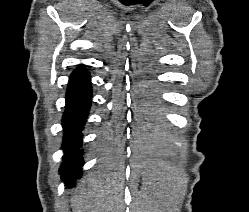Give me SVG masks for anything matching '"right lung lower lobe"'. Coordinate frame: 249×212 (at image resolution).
<instances>
[{
    "label": "right lung lower lobe",
    "mask_w": 249,
    "mask_h": 212,
    "mask_svg": "<svg viewBox=\"0 0 249 212\" xmlns=\"http://www.w3.org/2000/svg\"><path fill=\"white\" fill-rule=\"evenodd\" d=\"M90 75L84 67L76 69L69 80L66 110L63 115L65 156L60 175L67 187H74L83 165L80 131L85 123L92 97Z\"/></svg>",
    "instance_id": "obj_1"
}]
</instances>
